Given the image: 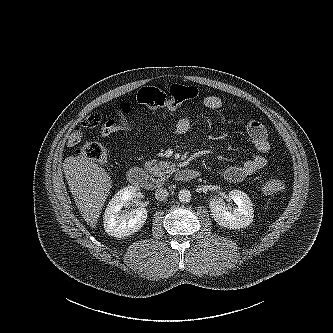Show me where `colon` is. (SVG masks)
Wrapping results in <instances>:
<instances>
[{
  "instance_id": "5ec220e1",
  "label": "colon",
  "mask_w": 333,
  "mask_h": 333,
  "mask_svg": "<svg viewBox=\"0 0 333 333\" xmlns=\"http://www.w3.org/2000/svg\"><path fill=\"white\" fill-rule=\"evenodd\" d=\"M198 96V89L193 86L173 84L167 91L156 87H144L137 93V101L153 109L173 110L181 106L184 102ZM130 111L128 103H121L115 109V114L122 118ZM78 155L89 158L101 163L105 160L106 153L104 148L96 142H88L77 151ZM285 188L282 179L275 178L268 180L262 186V191L266 194L274 193Z\"/></svg>"
}]
</instances>
